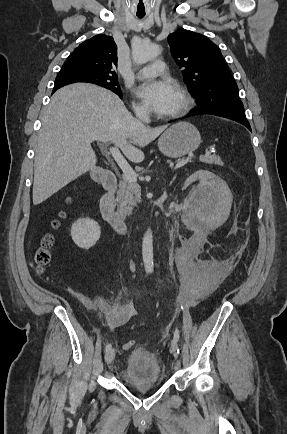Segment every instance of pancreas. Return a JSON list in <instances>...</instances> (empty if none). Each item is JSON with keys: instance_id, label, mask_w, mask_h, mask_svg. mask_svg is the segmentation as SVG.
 Returning a JSON list of instances; mask_svg holds the SVG:
<instances>
[{"instance_id": "cf45deb5", "label": "pancreas", "mask_w": 287, "mask_h": 434, "mask_svg": "<svg viewBox=\"0 0 287 434\" xmlns=\"http://www.w3.org/2000/svg\"><path fill=\"white\" fill-rule=\"evenodd\" d=\"M199 160L206 164L222 165V160L217 155H204ZM140 201V190L136 183L129 182L123 176L119 182V190L117 194V211L121 216L129 215L132 211V206H135Z\"/></svg>"}]
</instances>
